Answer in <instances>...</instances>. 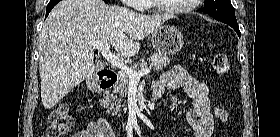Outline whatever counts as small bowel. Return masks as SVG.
<instances>
[{
    "label": "small bowel",
    "instance_id": "obj_1",
    "mask_svg": "<svg viewBox=\"0 0 280 137\" xmlns=\"http://www.w3.org/2000/svg\"><path fill=\"white\" fill-rule=\"evenodd\" d=\"M166 89L182 90L192 102V108L186 113L188 124L193 130L194 137H210L214 130V119L226 122L229 114L226 110L214 105L209 98V87L203 81L191 76L187 70L181 66H174L165 72L161 79L154 83L153 91L155 96L160 97ZM98 123L107 127L110 134H114L105 120ZM75 137H102L91 133V129L83 130Z\"/></svg>",
    "mask_w": 280,
    "mask_h": 137
}]
</instances>
